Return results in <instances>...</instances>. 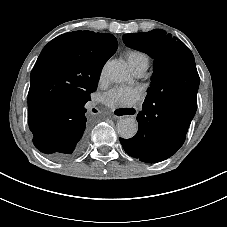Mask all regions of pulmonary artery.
<instances>
[{
  "label": "pulmonary artery",
  "instance_id": "1",
  "mask_svg": "<svg viewBox=\"0 0 227 227\" xmlns=\"http://www.w3.org/2000/svg\"><path fill=\"white\" fill-rule=\"evenodd\" d=\"M132 73L135 77H141L145 73V69L143 68H134L132 69Z\"/></svg>",
  "mask_w": 227,
  "mask_h": 227
}]
</instances>
